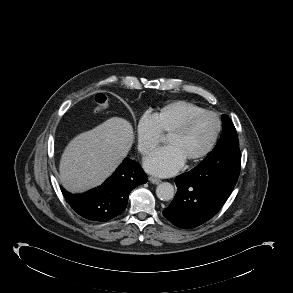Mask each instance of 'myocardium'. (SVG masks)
<instances>
[{
	"instance_id": "myocardium-1",
	"label": "myocardium",
	"mask_w": 293,
	"mask_h": 293,
	"mask_svg": "<svg viewBox=\"0 0 293 293\" xmlns=\"http://www.w3.org/2000/svg\"><path fill=\"white\" fill-rule=\"evenodd\" d=\"M205 115H209L212 116L215 121H216V130L215 133L210 141V143L208 144V146L202 151L200 152L198 155L194 156L193 158L187 160L188 164H196L198 162H200L201 160H203L204 158H206L215 148L218 139L220 137L221 134V130H222V121L220 116L211 110H203L197 113L192 114L191 116H189L181 125H179L177 128H175L174 130H172L168 136L171 135H183L185 134L190 128L191 126L194 124V122L199 119L202 116Z\"/></svg>"
}]
</instances>
